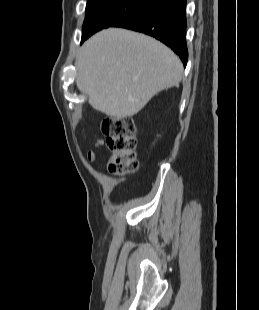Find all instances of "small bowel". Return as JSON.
Segmentation results:
<instances>
[{"label":"small bowel","instance_id":"1","mask_svg":"<svg viewBox=\"0 0 259 310\" xmlns=\"http://www.w3.org/2000/svg\"><path fill=\"white\" fill-rule=\"evenodd\" d=\"M103 139L100 138V137H97L94 139V147L95 148H99L103 145ZM86 157H87V160L90 161V162H94L96 161L97 159V152L95 149H89L87 151V154H86Z\"/></svg>","mask_w":259,"mask_h":310}]
</instances>
